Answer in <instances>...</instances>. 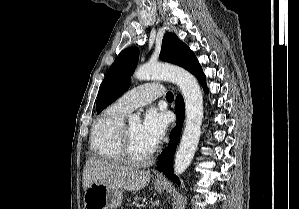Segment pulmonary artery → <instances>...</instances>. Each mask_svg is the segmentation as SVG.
I'll list each match as a JSON object with an SVG mask.
<instances>
[{
    "mask_svg": "<svg viewBox=\"0 0 299 209\" xmlns=\"http://www.w3.org/2000/svg\"><path fill=\"white\" fill-rule=\"evenodd\" d=\"M164 94L160 83H148L131 89L122 95L116 106L123 112L129 113L138 107L147 105Z\"/></svg>",
    "mask_w": 299,
    "mask_h": 209,
    "instance_id": "obj_1",
    "label": "pulmonary artery"
}]
</instances>
